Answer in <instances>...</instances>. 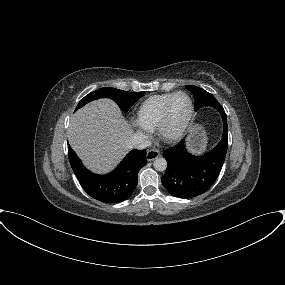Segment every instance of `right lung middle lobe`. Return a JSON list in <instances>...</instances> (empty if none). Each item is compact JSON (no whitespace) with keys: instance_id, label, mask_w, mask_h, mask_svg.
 Masks as SVG:
<instances>
[{"instance_id":"1","label":"right lung middle lobe","mask_w":285,"mask_h":285,"mask_svg":"<svg viewBox=\"0 0 285 285\" xmlns=\"http://www.w3.org/2000/svg\"><path fill=\"white\" fill-rule=\"evenodd\" d=\"M144 93L145 92H127L110 87L101 88L89 93L83 99H81L76 107V110L92 100L99 98H110L114 100L122 110L127 111Z\"/></svg>"}]
</instances>
